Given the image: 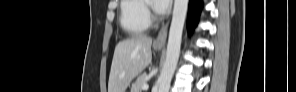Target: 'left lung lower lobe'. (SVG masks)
<instances>
[{
  "label": "left lung lower lobe",
  "mask_w": 296,
  "mask_h": 92,
  "mask_svg": "<svg viewBox=\"0 0 296 92\" xmlns=\"http://www.w3.org/2000/svg\"><path fill=\"white\" fill-rule=\"evenodd\" d=\"M202 8L201 0H190L188 13V29L191 32L196 26Z\"/></svg>",
  "instance_id": "obj_1"
}]
</instances>
